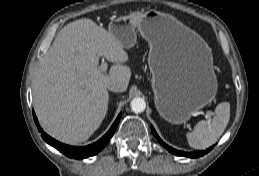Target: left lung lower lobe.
<instances>
[{"label":"left lung lower lobe","mask_w":259,"mask_h":176,"mask_svg":"<svg viewBox=\"0 0 259 176\" xmlns=\"http://www.w3.org/2000/svg\"><path fill=\"white\" fill-rule=\"evenodd\" d=\"M151 130H152V133L153 135L158 139V141L171 153L173 154H176V155H179V156H186V157H191V158H196V157H200V156H203L204 154H206L207 152H209L211 148L207 149L206 151H199V152H193V153H184L182 151H178V150H175L174 148L172 147H169L167 144H165L160 138L159 136L157 135L155 129L153 127H151Z\"/></svg>","instance_id":"left-lung-lower-lobe-1"}]
</instances>
